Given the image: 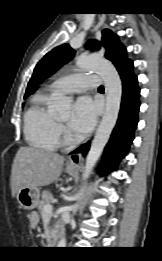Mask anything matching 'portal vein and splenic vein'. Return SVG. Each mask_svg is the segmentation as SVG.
<instances>
[{
    "instance_id": "1",
    "label": "portal vein and splenic vein",
    "mask_w": 162,
    "mask_h": 261,
    "mask_svg": "<svg viewBox=\"0 0 162 261\" xmlns=\"http://www.w3.org/2000/svg\"><path fill=\"white\" fill-rule=\"evenodd\" d=\"M70 189H71V187L67 188V190H65V191H63V192H67V191L70 190ZM52 210H53L52 205L47 204V205L44 206V213H45V214H50V213L52 212Z\"/></svg>"
}]
</instances>
